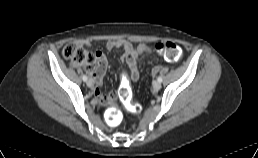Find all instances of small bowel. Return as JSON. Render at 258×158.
I'll use <instances>...</instances> for the list:
<instances>
[{"mask_svg": "<svg viewBox=\"0 0 258 158\" xmlns=\"http://www.w3.org/2000/svg\"><path fill=\"white\" fill-rule=\"evenodd\" d=\"M79 45L90 46L91 42L89 40L79 41ZM106 48L108 50H122V60L128 65L131 71V79L133 81L138 80L139 71L137 68V61L139 58L146 53L151 52L149 45L145 43H140L137 46H134L131 42L125 39H114L109 40L106 43ZM96 65L93 68H90L88 71L92 76L93 85L95 88L93 90L94 97L100 101L102 104L112 103L114 100L113 94L102 95L99 87L103 83V79L108 67V61L106 56L101 51L95 52Z\"/></svg>", "mask_w": 258, "mask_h": 158, "instance_id": "1", "label": "small bowel"}]
</instances>
